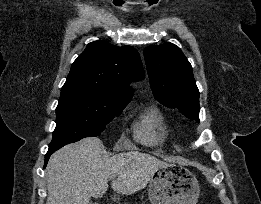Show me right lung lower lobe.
I'll use <instances>...</instances> for the list:
<instances>
[{
    "label": "right lung lower lobe",
    "mask_w": 261,
    "mask_h": 204,
    "mask_svg": "<svg viewBox=\"0 0 261 204\" xmlns=\"http://www.w3.org/2000/svg\"><path fill=\"white\" fill-rule=\"evenodd\" d=\"M59 148H50L49 147V150H48V152L46 153V155H45V165H44V168L46 167V164H47V162H48V159H49V157H50V155L52 154V153H54L56 150H58Z\"/></svg>",
    "instance_id": "right-lung-lower-lobe-1"
}]
</instances>
